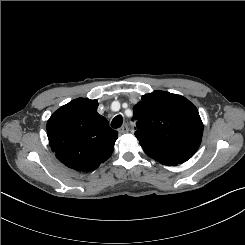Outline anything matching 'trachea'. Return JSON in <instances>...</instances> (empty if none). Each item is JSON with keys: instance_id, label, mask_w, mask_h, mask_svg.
Returning a JSON list of instances; mask_svg holds the SVG:
<instances>
[{"instance_id": "trachea-1", "label": "trachea", "mask_w": 245, "mask_h": 245, "mask_svg": "<svg viewBox=\"0 0 245 245\" xmlns=\"http://www.w3.org/2000/svg\"><path fill=\"white\" fill-rule=\"evenodd\" d=\"M123 123V118L121 115H117L116 117L113 118L112 122H111V127L112 128H119L121 127Z\"/></svg>"}]
</instances>
